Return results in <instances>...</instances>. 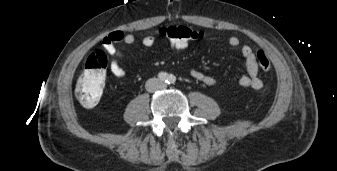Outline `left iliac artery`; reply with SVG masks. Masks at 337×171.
Instances as JSON below:
<instances>
[{
    "label": "left iliac artery",
    "instance_id": "left-iliac-artery-1",
    "mask_svg": "<svg viewBox=\"0 0 337 171\" xmlns=\"http://www.w3.org/2000/svg\"><path fill=\"white\" fill-rule=\"evenodd\" d=\"M175 81H176V77H175L174 75H170V76L168 77L167 83H168V84H174Z\"/></svg>",
    "mask_w": 337,
    "mask_h": 171
}]
</instances>
